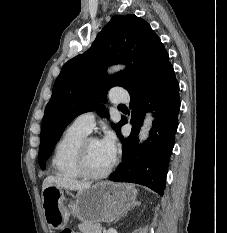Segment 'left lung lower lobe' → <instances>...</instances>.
<instances>
[{
	"mask_svg": "<svg viewBox=\"0 0 227 233\" xmlns=\"http://www.w3.org/2000/svg\"><path fill=\"white\" fill-rule=\"evenodd\" d=\"M130 96L129 122L133 127L128 138L117 133L123 146V161L109 179L141 184L163 195L180 110L179 84L172 65L149 88ZM148 110L155 111V120L150 137L138 147L137 135ZM126 123L123 118L122 125Z\"/></svg>",
	"mask_w": 227,
	"mask_h": 233,
	"instance_id": "0a47b994",
	"label": "left lung lower lobe"
}]
</instances>
